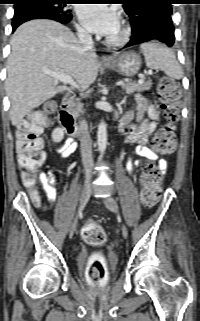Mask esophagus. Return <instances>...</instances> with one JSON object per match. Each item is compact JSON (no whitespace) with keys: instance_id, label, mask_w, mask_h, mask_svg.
I'll use <instances>...</instances> for the list:
<instances>
[{"instance_id":"1","label":"esophagus","mask_w":200,"mask_h":321,"mask_svg":"<svg viewBox=\"0 0 200 321\" xmlns=\"http://www.w3.org/2000/svg\"><path fill=\"white\" fill-rule=\"evenodd\" d=\"M101 61L102 62H109V61H111V58L108 55H103L101 57Z\"/></svg>"}]
</instances>
